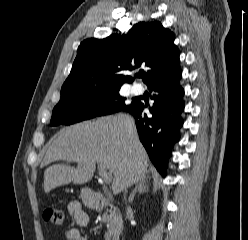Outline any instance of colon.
Listing matches in <instances>:
<instances>
[{"label":"colon","instance_id":"5ec220e1","mask_svg":"<svg viewBox=\"0 0 248 240\" xmlns=\"http://www.w3.org/2000/svg\"><path fill=\"white\" fill-rule=\"evenodd\" d=\"M44 220L53 225H61L63 223L64 214L62 210L50 206L44 210L43 213Z\"/></svg>","mask_w":248,"mask_h":240}]
</instances>
